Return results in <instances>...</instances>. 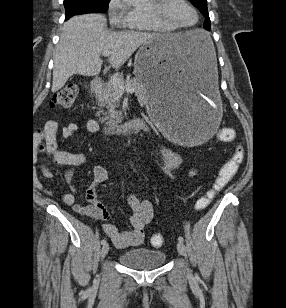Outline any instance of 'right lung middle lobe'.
I'll return each mask as SVG.
<instances>
[{
  "instance_id": "right-lung-middle-lobe-1",
  "label": "right lung middle lobe",
  "mask_w": 286,
  "mask_h": 308,
  "mask_svg": "<svg viewBox=\"0 0 286 308\" xmlns=\"http://www.w3.org/2000/svg\"><path fill=\"white\" fill-rule=\"evenodd\" d=\"M110 0H64L66 18L84 13H103L108 9Z\"/></svg>"
}]
</instances>
